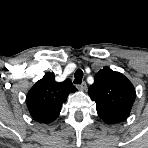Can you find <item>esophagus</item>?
I'll use <instances>...</instances> for the list:
<instances>
[{
	"label": "esophagus",
	"mask_w": 148,
	"mask_h": 148,
	"mask_svg": "<svg viewBox=\"0 0 148 148\" xmlns=\"http://www.w3.org/2000/svg\"><path fill=\"white\" fill-rule=\"evenodd\" d=\"M78 88H79L80 90H86L87 84H86L85 82H83L82 84H79V85H78Z\"/></svg>",
	"instance_id": "1"
}]
</instances>
